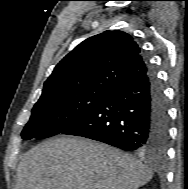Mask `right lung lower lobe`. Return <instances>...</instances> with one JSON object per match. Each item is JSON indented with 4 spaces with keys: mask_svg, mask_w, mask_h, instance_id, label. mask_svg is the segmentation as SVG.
Segmentation results:
<instances>
[{
    "mask_svg": "<svg viewBox=\"0 0 188 189\" xmlns=\"http://www.w3.org/2000/svg\"><path fill=\"white\" fill-rule=\"evenodd\" d=\"M147 73L105 96L62 134L82 136L127 151L164 153L169 116L163 89L146 61Z\"/></svg>",
    "mask_w": 188,
    "mask_h": 189,
    "instance_id": "right-lung-lower-lobe-1",
    "label": "right lung lower lobe"
}]
</instances>
